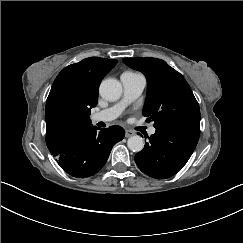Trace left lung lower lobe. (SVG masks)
Returning <instances> with one entry per match:
<instances>
[{
	"label": "left lung lower lobe",
	"mask_w": 243,
	"mask_h": 243,
	"mask_svg": "<svg viewBox=\"0 0 243 243\" xmlns=\"http://www.w3.org/2000/svg\"><path fill=\"white\" fill-rule=\"evenodd\" d=\"M200 129L189 126L156 128L142 151L135 155V162L146 175L165 179L179 172L192 155Z\"/></svg>",
	"instance_id": "obj_1"
}]
</instances>
